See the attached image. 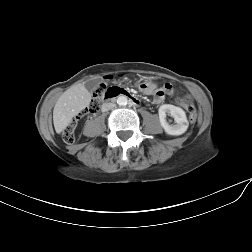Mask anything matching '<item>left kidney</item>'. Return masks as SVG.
Returning <instances> with one entry per match:
<instances>
[{"label": "left kidney", "mask_w": 252, "mask_h": 252, "mask_svg": "<svg viewBox=\"0 0 252 252\" xmlns=\"http://www.w3.org/2000/svg\"><path fill=\"white\" fill-rule=\"evenodd\" d=\"M158 113L160 124L168 135L177 136L186 132L188 128V121L185 111L182 108L171 104H164L160 106ZM167 114H170L174 118L176 124L170 125L166 121Z\"/></svg>", "instance_id": "obj_1"}]
</instances>
